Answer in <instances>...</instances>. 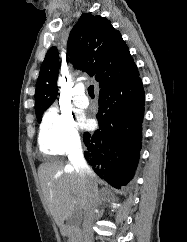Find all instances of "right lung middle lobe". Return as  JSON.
<instances>
[{"instance_id": "obj_1", "label": "right lung middle lobe", "mask_w": 187, "mask_h": 242, "mask_svg": "<svg viewBox=\"0 0 187 242\" xmlns=\"http://www.w3.org/2000/svg\"><path fill=\"white\" fill-rule=\"evenodd\" d=\"M42 115H43V114H40L39 116H37L38 122H41Z\"/></svg>"}]
</instances>
